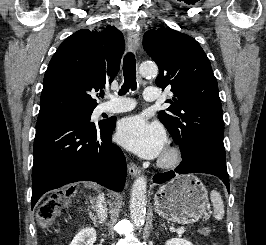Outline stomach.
<instances>
[{
    "mask_svg": "<svg viewBox=\"0 0 266 245\" xmlns=\"http://www.w3.org/2000/svg\"><path fill=\"white\" fill-rule=\"evenodd\" d=\"M154 205L156 213L167 221L196 223L206 211L208 193L194 175H180L158 189Z\"/></svg>",
    "mask_w": 266,
    "mask_h": 245,
    "instance_id": "1",
    "label": "stomach"
}]
</instances>
